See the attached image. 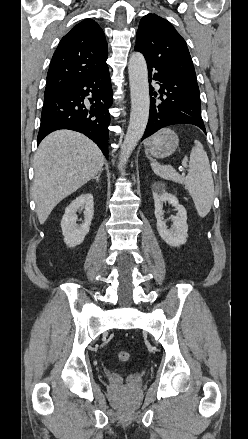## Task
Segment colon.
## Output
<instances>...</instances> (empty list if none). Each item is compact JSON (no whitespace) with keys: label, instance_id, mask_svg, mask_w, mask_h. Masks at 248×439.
<instances>
[{"label":"colon","instance_id":"obj_1","mask_svg":"<svg viewBox=\"0 0 248 439\" xmlns=\"http://www.w3.org/2000/svg\"><path fill=\"white\" fill-rule=\"evenodd\" d=\"M118 359L122 362H127L130 359V354L127 351H120L118 353Z\"/></svg>","mask_w":248,"mask_h":439}]
</instances>
